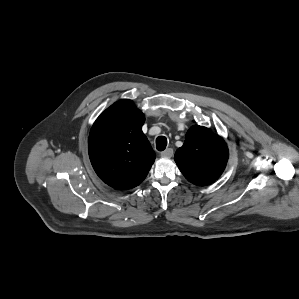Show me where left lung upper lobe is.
Masks as SVG:
<instances>
[{
    "label": "left lung upper lobe",
    "mask_w": 299,
    "mask_h": 299,
    "mask_svg": "<svg viewBox=\"0 0 299 299\" xmlns=\"http://www.w3.org/2000/svg\"><path fill=\"white\" fill-rule=\"evenodd\" d=\"M228 156V147L220 136L206 127L195 125L188 130L174 159L188 181L203 186L220 177Z\"/></svg>",
    "instance_id": "left-lung-upper-lobe-1"
}]
</instances>
